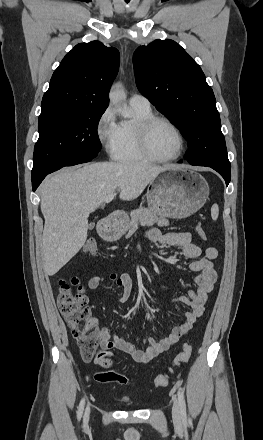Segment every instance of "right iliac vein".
I'll use <instances>...</instances> for the list:
<instances>
[{
  "instance_id": "1",
  "label": "right iliac vein",
  "mask_w": 263,
  "mask_h": 440,
  "mask_svg": "<svg viewBox=\"0 0 263 440\" xmlns=\"http://www.w3.org/2000/svg\"><path fill=\"white\" fill-rule=\"evenodd\" d=\"M89 414H90V409L89 407H87L85 415H84V422L87 423L89 420Z\"/></svg>"
}]
</instances>
